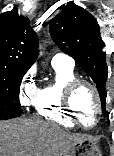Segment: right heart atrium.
<instances>
[{"label": "right heart atrium", "instance_id": "right-heart-atrium-1", "mask_svg": "<svg viewBox=\"0 0 114 156\" xmlns=\"http://www.w3.org/2000/svg\"><path fill=\"white\" fill-rule=\"evenodd\" d=\"M36 84V73L33 68L29 69L21 78L19 83L18 95L21 105L29 106L33 104L38 94Z\"/></svg>", "mask_w": 114, "mask_h": 156}]
</instances>
